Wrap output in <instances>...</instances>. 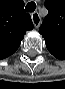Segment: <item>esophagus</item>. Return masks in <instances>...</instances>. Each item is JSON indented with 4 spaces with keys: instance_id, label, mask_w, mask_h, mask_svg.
Here are the masks:
<instances>
[{
    "instance_id": "esophagus-1",
    "label": "esophagus",
    "mask_w": 65,
    "mask_h": 89,
    "mask_svg": "<svg viewBox=\"0 0 65 89\" xmlns=\"http://www.w3.org/2000/svg\"><path fill=\"white\" fill-rule=\"evenodd\" d=\"M31 17H32V21H33L35 27L38 28L40 26V23H41V18L39 16V13L38 12H33L31 14Z\"/></svg>"
}]
</instances>
